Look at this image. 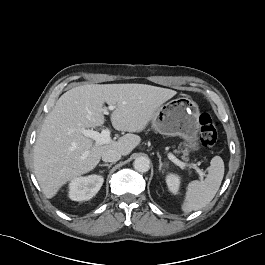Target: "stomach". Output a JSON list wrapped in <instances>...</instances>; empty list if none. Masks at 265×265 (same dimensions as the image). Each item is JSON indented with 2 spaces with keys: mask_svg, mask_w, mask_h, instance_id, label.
I'll return each instance as SVG.
<instances>
[{
  "mask_svg": "<svg viewBox=\"0 0 265 265\" xmlns=\"http://www.w3.org/2000/svg\"><path fill=\"white\" fill-rule=\"evenodd\" d=\"M199 108L187 97L162 105L152 118V127L162 135L179 136L192 151L199 149Z\"/></svg>",
  "mask_w": 265,
  "mask_h": 265,
  "instance_id": "obj_1",
  "label": "stomach"
}]
</instances>
